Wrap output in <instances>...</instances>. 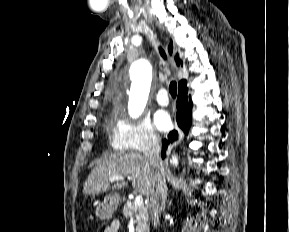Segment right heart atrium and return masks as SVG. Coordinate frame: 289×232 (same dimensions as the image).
<instances>
[{
	"instance_id": "1",
	"label": "right heart atrium",
	"mask_w": 289,
	"mask_h": 232,
	"mask_svg": "<svg viewBox=\"0 0 289 232\" xmlns=\"http://www.w3.org/2000/svg\"><path fill=\"white\" fill-rule=\"evenodd\" d=\"M160 137L148 120L118 118L112 127V147L118 152H147L158 147Z\"/></svg>"
}]
</instances>
